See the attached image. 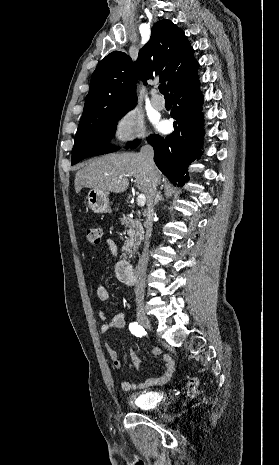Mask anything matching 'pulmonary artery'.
<instances>
[{
    "instance_id": "e3ab8cb5",
    "label": "pulmonary artery",
    "mask_w": 279,
    "mask_h": 465,
    "mask_svg": "<svg viewBox=\"0 0 279 465\" xmlns=\"http://www.w3.org/2000/svg\"><path fill=\"white\" fill-rule=\"evenodd\" d=\"M151 103L153 107L158 110H162L165 107V100L160 95H158L156 91L152 92Z\"/></svg>"
}]
</instances>
